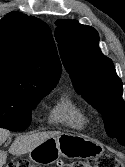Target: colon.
<instances>
[{
	"instance_id": "obj_1",
	"label": "colon",
	"mask_w": 125,
	"mask_h": 167,
	"mask_svg": "<svg viewBox=\"0 0 125 167\" xmlns=\"http://www.w3.org/2000/svg\"><path fill=\"white\" fill-rule=\"evenodd\" d=\"M5 167H35L28 160L19 159L10 162ZM56 167H122L120 159L113 154H102L97 158L85 161L58 162Z\"/></svg>"
}]
</instances>
